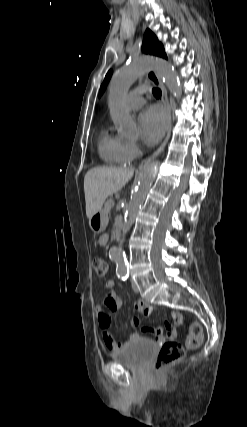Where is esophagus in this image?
<instances>
[{"label": "esophagus", "mask_w": 247, "mask_h": 427, "mask_svg": "<svg viewBox=\"0 0 247 427\" xmlns=\"http://www.w3.org/2000/svg\"><path fill=\"white\" fill-rule=\"evenodd\" d=\"M147 77L154 85L158 86L161 89V92H162L161 100H162V103H163L165 109L167 110L169 122H168L167 134H166L164 141L162 142V144L158 147V149L152 155L145 158L141 162V164L139 165L140 170L147 167L163 151L164 147L166 146V144L170 138L171 128H172V112H171V107H170L166 87L163 84V82L161 81V79L159 78V76L157 75V73L153 69H149L147 71Z\"/></svg>", "instance_id": "obj_1"}]
</instances>
